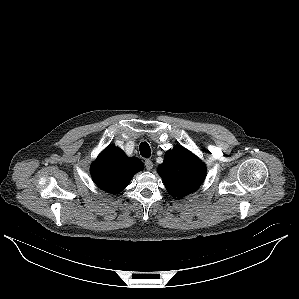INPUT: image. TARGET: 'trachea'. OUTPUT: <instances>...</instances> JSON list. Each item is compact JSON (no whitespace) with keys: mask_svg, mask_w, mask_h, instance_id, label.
Instances as JSON below:
<instances>
[{"mask_svg":"<svg viewBox=\"0 0 299 299\" xmlns=\"http://www.w3.org/2000/svg\"><path fill=\"white\" fill-rule=\"evenodd\" d=\"M140 154L145 157L149 158L151 155V149L147 142H142L139 146Z\"/></svg>","mask_w":299,"mask_h":299,"instance_id":"obj_1","label":"trachea"}]
</instances>
